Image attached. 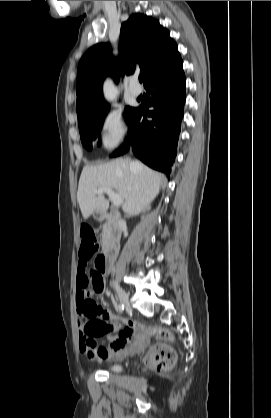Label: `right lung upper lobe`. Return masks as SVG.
I'll return each instance as SVG.
<instances>
[{
  "label": "right lung upper lobe",
  "instance_id": "obj_1",
  "mask_svg": "<svg viewBox=\"0 0 271 418\" xmlns=\"http://www.w3.org/2000/svg\"><path fill=\"white\" fill-rule=\"evenodd\" d=\"M119 51L116 62L108 44H97L81 58L76 81L78 116L106 103L102 83L107 75L118 81L120 71L129 75L139 69L146 87L151 79L181 59L170 32L159 21L139 13L122 24Z\"/></svg>",
  "mask_w": 271,
  "mask_h": 418
}]
</instances>
